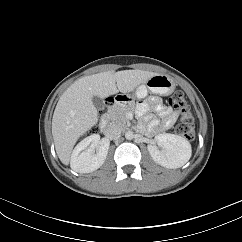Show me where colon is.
<instances>
[{"label":"colon","instance_id":"5ec220e1","mask_svg":"<svg viewBox=\"0 0 242 242\" xmlns=\"http://www.w3.org/2000/svg\"><path fill=\"white\" fill-rule=\"evenodd\" d=\"M112 100L109 101V103ZM170 105L180 113V119L176 126V131L181 136L193 139L194 137V123L191 114L189 113V105L184 94L181 91L174 92L170 99Z\"/></svg>","mask_w":242,"mask_h":242}]
</instances>
